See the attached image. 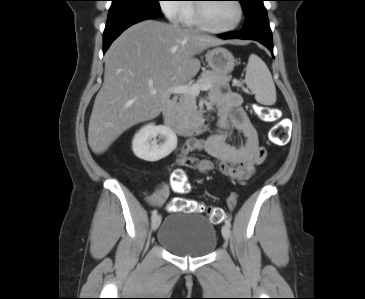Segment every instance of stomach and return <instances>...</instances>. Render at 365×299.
Wrapping results in <instances>:
<instances>
[{
  "label": "stomach",
  "mask_w": 365,
  "mask_h": 299,
  "mask_svg": "<svg viewBox=\"0 0 365 299\" xmlns=\"http://www.w3.org/2000/svg\"><path fill=\"white\" fill-rule=\"evenodd\" d=\"M206 61L212 71L227 75L235 66L234 56L230 51L222 47H216L206 53Z\"/></svg>",
  "instance_id": "1"
}]
</instances>
